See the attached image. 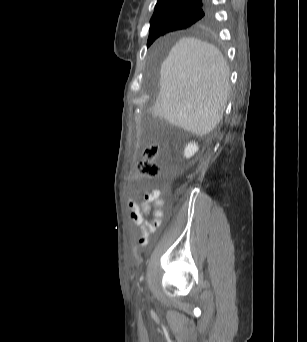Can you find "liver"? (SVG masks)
I'll list each match as a JSON object with an SVG mask.
<instances>
[{"mask_svg":"<svg viewBox=\"0 0 307 342\" xmlns=\"http://www.w3.org/2000/svg\"><path fill=\"white\" fill-rule=\"evenodd\" d=\"M229 90V68L220 50L197 38H181L161 64L155 116L206 136L222 120Z\"/></svg>","mask_w":307,"mask_h":342,"instance_id":"obj_1","label":"liver"}]
</instances>
